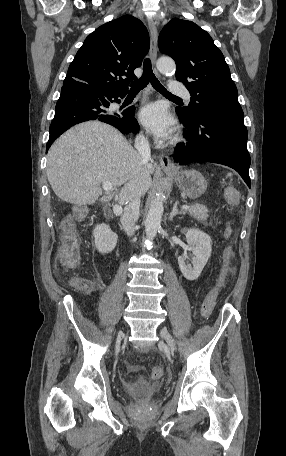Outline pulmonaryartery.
<instances>
[{"label": "pulmonary artery", "instance_id": "obj_1", "mask_svg": "<svg viewBox=\"0 0 286 456\" xmlns=\"http://www.w3.org/2000/svg\"><path fill=\"white\" fill-rule=\"evenodd\" d=\"M176 84H177V81L175 79L172 80L170 92L175 96H182L185 98H189L190 94H189L188 90L181 86H177Z\"/></svg>", "mask_w": 286, "mask_h": 456}]
</instances>
